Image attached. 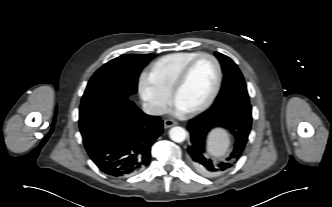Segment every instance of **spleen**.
I'll use <instances>...</instances> for the list:
<instances>
[{"label": "spleen", "instance_id": "1", "mask_svg": "<svg viewBox=\"0 0 332 207\" xmlns=\"http://www.w3.org/2000/svg\"><path fill=\"white\" fill-rule=\"evenodd\" d=\"M230 145L229 136L226 132L215 131L208 140V152L214 157L225 155Z\"/></svg>", "mask_w": 332, "mask_h": 207}]
</instances>
